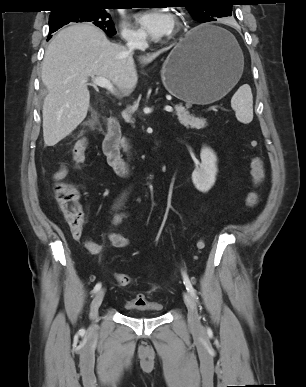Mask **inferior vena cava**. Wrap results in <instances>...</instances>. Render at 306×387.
I'll return each mask as SVG.
<instances>
[{"mask_svg": "<svg viewBox=\"0 0 306 387\" xmlns=\"http://www.w3.org/2000/svg\"><path fill=\"white\" fill-rule=\"evenodd\" d=\"M148 47L146 39L141 36H133L130 37L127 41V48L129 51H133L134 49L144 50ZM128 93V91L126 92Z\"/></svg>", "mask_w": 306, "mask_h": 387, "instance_id": "obj_1", "label": "inferior vena cava"}]
</instances>
